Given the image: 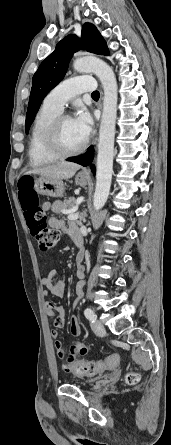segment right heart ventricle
Listing matches in <instances>:
<instances>
[{"instance_id": "1", "label": "right heart ventricle", "mask_w": 171, "mask_h": 445, "mask_svg": "<svg viewBox=\"0 0 171 445\" xmlns=\"http://www.w3.org/2000/svg\"><path fill=\"white\" fill-rule=\"evenodd\" d=\"M60 112L61 111L43 104L36 115L28 150L29 160L34 166H43L58 159V157L50 154L46 150L45 133L50 122L58 116Z\"/></svg>"}]
</instances>
